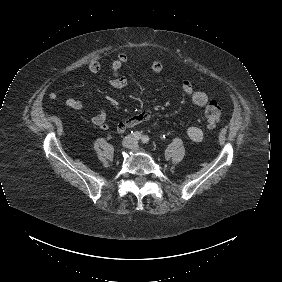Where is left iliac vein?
I'll return each instance as SVG.
<instances>
[{
	"label": "left iliac vein",
	"mask_w": 282,
	"mask_h": 282,
	"mask_svg": "<svg viewBox=\"0 0 282 282\" xmlns=\"http://www.w3.org/2000/svg\"><path fill=\"white\" fill-rule=\"evenodd\" d=\"M132 148L136 150L139 149V145L136 141H133Z\"/></svg>",
	"instance_id": "left-iliac-vein-1"
}]
</instances>
